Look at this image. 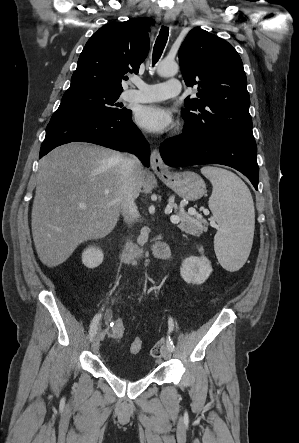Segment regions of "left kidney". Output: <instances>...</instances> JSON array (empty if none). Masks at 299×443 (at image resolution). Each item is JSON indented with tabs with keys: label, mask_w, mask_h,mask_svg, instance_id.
I'll return each mask as SVG.
<instances>
[{
	"label": "left kidney",
	"mask_w": 299,
	"mask_h": 443,
	"mask_svg": "<svg viewBox=\"0 0 299 443\" xmlns=\"http://www.w3.org/2000/svg\"><path fill=\"white\" fill-rule=\"evenodd\" d=\"M203 252V248L199 249ZM212 272L211 262L205 257H188L181 265L180 275L187 283L202 284L204 283Z\"/></svg>",
	"instance_id": "5707ae66"
}]
</instances>
